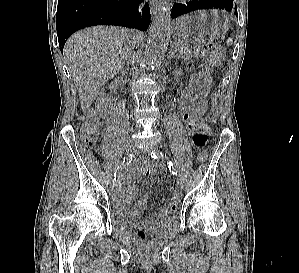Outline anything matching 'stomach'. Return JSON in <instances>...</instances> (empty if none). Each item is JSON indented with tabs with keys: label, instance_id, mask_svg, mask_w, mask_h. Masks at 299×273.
Returning a JSON list of instances; mask_svg holds the SVG:
<instances>
[{
	"label": "stomach",
	"instance_id": "stomach-1",
	"mask_svg": "<svg viewBox=\"0 0 299 273\" xmlns=\"http://www.w3.org/2000/svg\"><path fill=\"white\" fill-rule=\"evenodd\" d=\"M228 18L218 10H201L178 18L172 26L176 39L184 43H206L217 40L228 29ZM208 83L203 75L194 77L195 90L202 93Z\"/></svg>",
	"mask_w": 299,
	"mask_h": 273
}]
</instances>
